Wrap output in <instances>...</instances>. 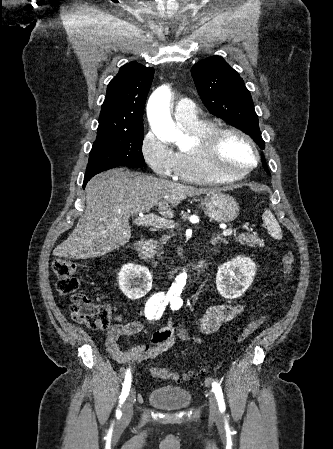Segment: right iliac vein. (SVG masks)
<instances>
[{
    "instance_id": "1",
    "label": "right iliac vein",
    "mask_w": 333,
    "mask_h": 449,
    "mask_svg": "<svg viewBox=\"0 0 333 449\" xmlns=\"http://www.w3.org/2000/svg\"><path fill=\"white\" fill-rule=\"evenodd\" d=\"M135 401V390L131 389L122 409V416L120 419V425L126 426L130 423L133 415V405Z\"/></svg>"
}]
</instances>
